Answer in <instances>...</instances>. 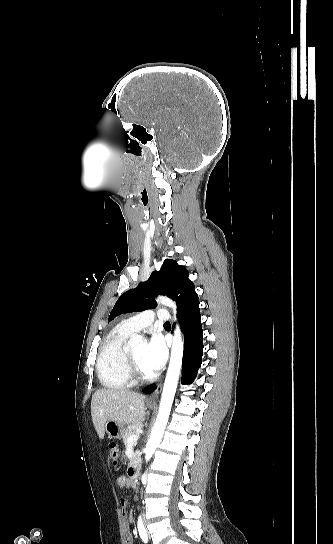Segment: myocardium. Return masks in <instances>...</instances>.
I'll return each mask as SVG.
<instances>
[{
    "mask_svg": "<svg viewBox=\"0 0 333 544\" xmlns=\"http://www.w3.org/2000/svg\"><path fill=\"white\" fill-rule=\"evenodd\" d=\"M128 370L133 381L146 382L152 378L151 374H145L141 371L132 351H127Z\"/></svg>",
    "mask_w": 333,
    "mask_h": 544,
    "instance_id": "myocardium-1",
    "label": "myocardium"
}]
</instances>
